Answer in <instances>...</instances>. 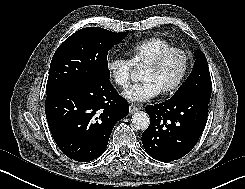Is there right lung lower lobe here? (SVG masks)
Segmentation results:
<instances>
[{"mask_svg": "<svg viewBox=\"0 0 245 189\" xmlns=\"http://www.w3.org/2000/svg\"><path fill=\"white\" fill-rule=\"evenodd\" d=\"M46 118L60 150L69 158L88 162L106 150L116 122L127 116L128 102L109 78L46 97Z\"/></svg>", "mask_w": 245, "mask_h": 189, "instance_id": "98d812e1", "label": "right lung lower lobe"}]
</instances>
